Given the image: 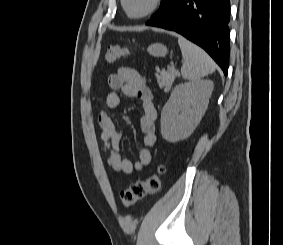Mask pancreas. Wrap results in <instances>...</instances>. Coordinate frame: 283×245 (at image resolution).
<instances>
[{"label":"pancreas","mask_w":283,"mask_h":245,"mask_svg":"<svg viewBox=\"0 0 283 245\" xmlns=\"http://www.w3.org/2000/svg\"><path fill=\"white\" fill-rule=\"evenodd\" d=\"M178 75L179 72L172 69L159 72L156 76L159 87L163 88L165 92L170 91L172 84Z\"/></svg>","instance_id":"obj_1"}]
</instances>
